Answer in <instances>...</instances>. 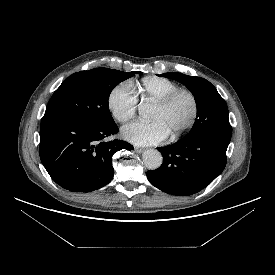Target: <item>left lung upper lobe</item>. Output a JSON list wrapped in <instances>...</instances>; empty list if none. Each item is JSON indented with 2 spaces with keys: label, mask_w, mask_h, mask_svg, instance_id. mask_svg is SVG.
Here are the masks:
<instances>
[{
  "label": "left lung upper lobe",
  "mask_w": 275,
  "mask_h": 275,
  "mask_svg": "<svg viewBox=\"0 0 275 275\" xmlns=\"http://www.w3.org/2000/svg\"><path fill=\"white\" fill-rule=\"evenodd\" d=\"M163 77L184 84L194 95L197 118L184 138L202 137L231 139L232 129L225 100L206 79L181 73H164Z\"/></svg>",
  "instance_id": "obj_1"
}]
</instances>
